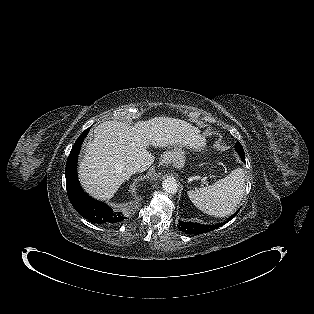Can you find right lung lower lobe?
Returning <instances> with one entry per match:
<instances>
[{
  "mask_svg": "<svg viewBox=\"0 0 314 314\" xmlns=\"http://www.w3.org/2000/svg\"><path fill=\"white\" fill-rule=\"evenodd\" d=\"M88 132L89 128L79 136L67 160L65 177L69 200L75 210L92 223L113 224L123 221L125 217L122 212L113 211L108 205L91 198L80 187L76 173L77 159L81 144Z\"/></svg>",
  "mask_w": 314,
  "mask_h": 314,
  "instance_id": "98d812e1",
  "label": "right lung lower lobe"
}]
</instances>
